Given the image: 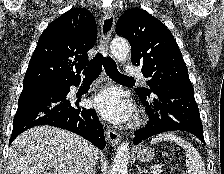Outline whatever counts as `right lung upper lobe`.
I'll return each instance as SVG.
<instances>
[{
	"instance_id": "cb5924a9",
	"label": "right lung upper lobe",
	"mask_w": 224,
	"mask_h": 174,
	"mask_svg": "<svg viewBox=\"0 0 224 174\" xmlns=\"http://www.w3.org/2000/svg\"><path fill=\"white\" fill-rule=\"evenodd\" d=\"M97 38L94 16L74 8L51 22L39 38L24 77V88L81 79L87 52Z\"/></svg>"
}]
</instances>
